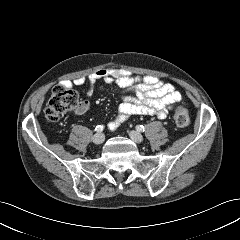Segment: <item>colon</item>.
<instances>
[{"instance_id": "5ec220e1", "label": "colon", "mask_w": 240, "mask_h": 240, "mask_svg": "<svg viewBox=\"0 0 240 240\" xmlns=\"http://www.w3.org/2000/svg\"><path fill=\"white\" fill-rule=\"evenodd\" d=\"M80 106L78 93L74 89L65 85H56L45 107V116L48 120L57 122L64 115L79 109ZM174 120L179 127H187L190 124L188 111L183 107H177L174 111Z\"/></svg>"}]
</instances>
